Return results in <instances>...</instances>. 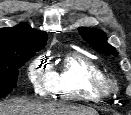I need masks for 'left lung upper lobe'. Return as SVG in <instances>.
<instances>
[{
  "label": "left lung upper lobe",
  "instance_id": "5c2ea615",
  "mask_svg": "<svg viewBox=\"0 0 131 115\" xmlns=\"http://www.w3.org/2000/svg\"><path fill=\"white\" fill-rule=\"evenodd\" d=\"M78 30L82 38L98 52L117 54L115 48L106 42L107 37L102 30L87 27H79Z\"/></svg>",
  "mask_w": 131,
  "mask_h": 115
}]
</instances>
